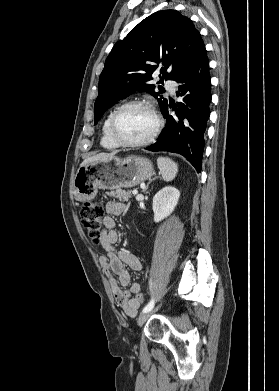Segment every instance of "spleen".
Returning <instances> with one entry per match:
<instances>
[{"mask_svg":"<svg viewBox=\"0 0 279 391\" xmlns=\"http://www.w3.org/2000/svg\"><path fill=\"white\" fill-rule=\"evenodd\" d=\"M157 165L164 181H172L178 172V165L169 158L159 157Z\"/></svg>","mask_w":279,"mask_h":391,"instance_id":"1","label":"spleen"}]
</instances>
